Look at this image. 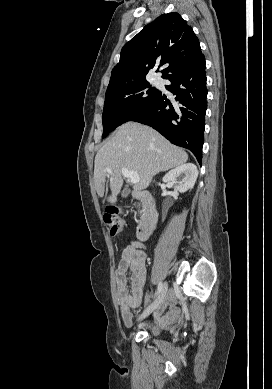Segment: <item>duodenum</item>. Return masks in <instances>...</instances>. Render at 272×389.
Wrapping results in <instances>:
<instances>
[{
	"label": "duodenum",
	"instance_id": "duodenum-1",
	"mask_svg": "<svg viewBox=\"0 0 272 389\" xmlns=\"http://www.w3.org/2000/svg\"><path fill=\"white\" fill-rule=\"evenodd\" d=\"M136 199H138L145 208V215L140 220L137 236L141 241H145L149 238L156 227L158 213L155 207L153 197L147 191L139 190L133 193Z\"/></svg>",
	"mask_w": 272,
	"mask_h": 389
}]
</instances>
